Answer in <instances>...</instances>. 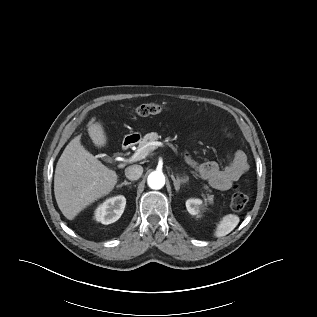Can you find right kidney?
<instances>
[{"label": "right kidney", "instance_id": "obj_1", "mask_svg": "<svg viewBox=\"0 0 317 317\" xmlns=\"http://www.w3.org/2000/svg\"><path fill=\"white\" fill-rule=\"evenodd\" d=\"M126 199L123 195L106 199L94 213L96 221L108 225L117 221L124 212Z\"/></svg>", "mask_w": 317, "mask_h": 317}]
</instances>
